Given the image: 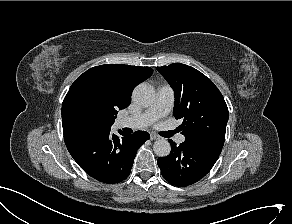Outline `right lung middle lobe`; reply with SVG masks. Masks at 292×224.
I'll list each match as a JSON object with an SVG mask.
<instances>
[{
  "mask_svg": "<svg viewBox=\"0 0 292 224\" xmlns=\"http://www.w3.org/2000/svg\"><path fill=\"white\" fill-rule=\"evenodd\" d=\"M116 115L103 95L87 85L71 86L62 104L63 130L107 131Z\"/></svg>",
  "mask_w": 292,
  "mask_h": 224,
  "instance_id": "dd1d6c3e",
  "label": "right lung middle lobe"
}]
</instances>
